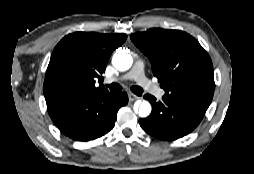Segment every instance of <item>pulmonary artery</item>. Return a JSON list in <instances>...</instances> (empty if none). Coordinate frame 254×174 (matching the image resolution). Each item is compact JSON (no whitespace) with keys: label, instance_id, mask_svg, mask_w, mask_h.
Returning <instances> with one entry per match:
<instances>
[{"label":"pulmonary artery","instance_id":"1","mask_svg":"<svg viewBox=\"0 0 254 174\" xmlns=\"http://www.w3.org/2000/svg\"><path fill=\"white\" fill-rule=\"evenodd\" d=\"M120 80H134L141 88L158 98H161L165 93L162 89L158 88L154 83L146 78L144 75V64L140 60L134 64L128 73L122 75Z\"/></svg>","mask_w":254,"mask_h":174}]
</instances>
